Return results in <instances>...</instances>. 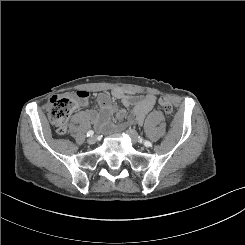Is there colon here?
Listing matches in <instances>:
<instances>
[{
	"label": "colon",
	"instance_id": "5ec220e1",
	"mask_svg": "<svg viewBox=\"0 0 245 245\" xmlns=\"http://www.w3.org/2000/svg\"><path fill=\"white\" fill-rule=\"evenodd\" d=\"M88 93L78 91L75 94H62L53 96L49 100L47 113L51 122L57 126V132L64 134L66 131V122L75 109L83 100H86ZM158 103L167 114H172L174 107L172 103L165 97H159Z\"/></svg>",
	"mask_w": 245,
	"mask_h": 245
}]
</instances>
